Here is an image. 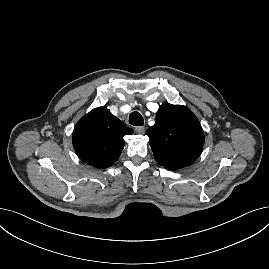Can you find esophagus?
Segmentation results:
<instances>
[{
    "mask_svg": "<svg viewBox=\"0 0 269 269\" xmlns=\"http://www.w3.org/2000/svg\"><path fill=\"white\" fill-rule=\"evenodd\" d=\"M135 132L138 134H144L145 133V128L142 126L135 127Z\"/></svg>",
    "mask_w": 269,
    "mask_h": 269,
    "instance_id": "obj_1",
    "label": "esophagus"
}]
</instances>
